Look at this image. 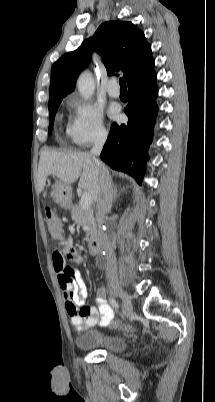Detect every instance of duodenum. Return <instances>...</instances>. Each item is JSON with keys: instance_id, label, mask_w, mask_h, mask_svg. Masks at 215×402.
Instances as JSON below:
<instances>
[{"instance_id": "obj_1", "label": "duodenum", "mask_w": 215, "mask_h": 402, "mask_svg": "<svg viewBox=\"0 0 215 402\" xmlns=\"http://www.w3.org/2000/svg\"><path fill=\"white\" fill-rule=\"evenodd\" d=\"M101 249H102V242L98 238H94L88 243V251L91 254H98L101 251Z\"/></svg>"}]
</instances>
